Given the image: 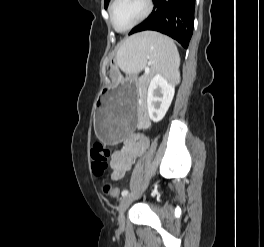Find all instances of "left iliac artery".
Listing matches in <instances>:
<instances>
[{
  "mask_svg": "<svg viewBox=\"0 0 264 247\" xmlns=\"http://www.w3.org/2000/svg\"><path fill=\"white\" fill-rule=\"evenodd\" d=\"M128 194V190H123L122 191V196H125V195H127Z\"/></svg>",
  "mask_w": 264,
  "mask_h": 247,
  "instance_id": "left-iliac-artery-1",
  "label": "left iliac artery"
}]
</instances>
